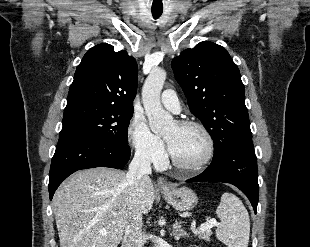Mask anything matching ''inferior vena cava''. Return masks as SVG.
Segmentation results:
<instances>
[{"label":"inferior vena cava","mask_w":310,"mask_h":247,"mask_svg":"<svg viewBox=\"0 0 310 247\" xmlns=\"http://www.w3.org/2000/svg\"><path fill=\"white\" fill-rule=\"evenodd\" d=\"M151 174V162L149 155L137 149L133 160L129 165L126 180L130 185V213L125 227V247H142V212L139 207L142 179Z\"/></svg>","instance_id":"inferior-vena-cava-1"}]
</instances>
